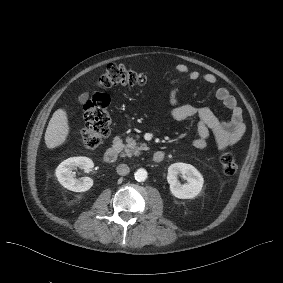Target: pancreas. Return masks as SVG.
Returning <instances> with one entry per match:
<instances>
[{
    "label": "pancreas",
    "mask_w": 283,
    "mask_h": 283,
    "mask_svg": "<svg viewBox=\"0 0 283 283\" xmlns=\"http://www.w3.org/2000/svg\"><path fill=\"white\" fill-rule=\"evenodd\" d=\"M126 148H125V153L129 156L135 155L138 156L141 153V150L145 149L146 145L142 146H137L136 141L130 137L126 138Z\"/></svg>",
    "instance_id": "obj_1"
}]
</instances>
